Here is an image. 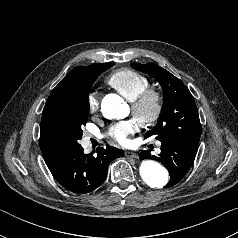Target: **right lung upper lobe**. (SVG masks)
<instances>
[{"instance_id": "1", "label": "right lung upper lobe", "mask_w": 238, "mask_h": 238, "mask_svg": "<svg viewBox=\"0 0 238 238\" xmlns=\"http://www.w3.org/2000/svg\"><path fill=\"white\" fill-rule=\"evenodd\" d=\"M92 66V65H90ZM90 66H81L74 68L51 92L46 103L50 102L56 97L64 94L70 86H72L74 80L78 75H80L83 71L90 68ZM40 149L45 160V163L48 165L64 155H66L70 150L66 149L60 143L48 138L44 134L40 133Z\"/></svg>"}]
</instances>
